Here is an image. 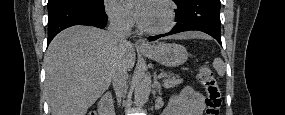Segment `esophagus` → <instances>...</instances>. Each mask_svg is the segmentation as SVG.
Wrapping results in <instances>:
<instances>
[{
    "mask_svg": "<svg viewBox=\"0 0 285 115\" xmlns=\"http://www.w3.org/2000/svg\"><path fill=\"white\" fill-rule=\"evenodd\" d=\"M135 46L139 49H147L151 47V45L144 38L137 39L135 42Z\"/></svg>",
    "mask_w": 285,
    "mask_h": 115,
    "instance_id": "1",
    "label": "esophagus"
}]
</instances>
